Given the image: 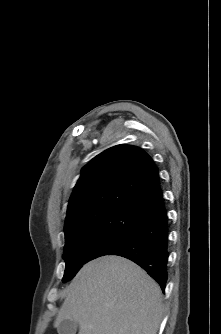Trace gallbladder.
<instances>
[{
  "mask_svg": "<svg viewBox=\"0 0 221 334\" xmlns=\"http://www.w3.org/2000/svg\"><path fill=\"white\" fill-rule=\"evenodd\" d=\"M78 323L73 320H63L57 327L58 334H76Z\"/></svg>",
  "mask_w": 221,
  "mask_h": 334,
  "instance_id": "gallbladder-1",
  "label": "gallbladder"
}]
</instances>
